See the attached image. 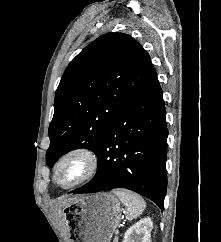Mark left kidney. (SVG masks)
<instances>
[{
  "label": "left kidney",
  "mask_w": 221,
  "mask_h": 242,
  "mask_svg": "<svg viewBox=\"0 0 221 242\" xmlns=\"http://www.w3.org/2000/svg\"><path fill=\"white\" fill-rule=\"evenodd\" d=\"M152 220L147 217L132 225L124 234L122 242H151Z\"/></svg>",
  "instance_id": "obj_1"
}]
</instances>
